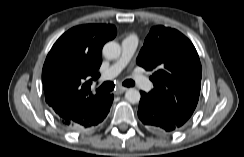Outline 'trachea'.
<instances>
[{
  "mask_svg": "<svg viewBox=\"0 0 244 157\" xmlns=\"http://www.w3.org/2000/svg\"><path fill=\"white\" fill-rule=\"evenodd\" d=\"M123 85L126 87H132L135 85L133 80H125L123 82ZM114 89V84L112 82H105L103 83L98 89L97 92L98 93H106V92H110Z\"/></svg>",
  "mask_w": 244,
  "mask_h": 157,
  "instance_id": "obj_1",
  "label": "trachea"
}]
</instances>
